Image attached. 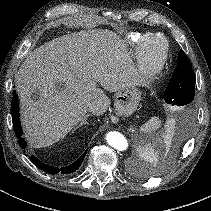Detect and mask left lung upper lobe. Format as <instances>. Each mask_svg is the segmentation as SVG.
<instances>
[{"mask_svg":"<svg viewBox=\"0 0 211 211\" xmlns=\"http://www.w3.org/2000/svg\"><path fill=\"white\" fill-rule=\"evenodd\" d=\"M195 95V76L188 57L179 51L177 66L164 93L166 103L181 108H191Z\"/></svg>","mask_w":211,"mask_h":211,"instance_id":"left-lung-upper-lobe-1","label":"left lung upper lobe"}]
</instances>
